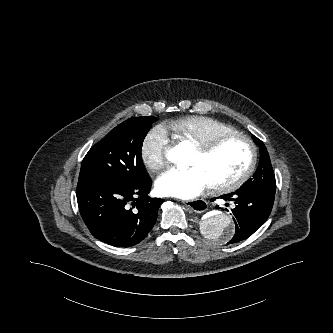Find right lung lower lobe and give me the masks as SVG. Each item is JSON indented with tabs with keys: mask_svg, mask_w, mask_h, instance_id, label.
Instances as JSON below:
<instances>
[{
	"mask_svg": "<svg viewBox=\"0 0 333 333\" xmlns=\"http://www.w3.org/2000/svg\"><path fill=\"white\" fill-rule=\"evenodd\" d=\"M151 178L137 184L94 181L77 185L80 214L98 240L113 246H133L153 228L164 200L151 198Z\"/></svg>",
	"mask_w": 333,
	"mask_h": 333,
	"instance_id": "right-lung-lower-lobe-1",
	"label": "right lung lower lobe"
}]
</instances>
